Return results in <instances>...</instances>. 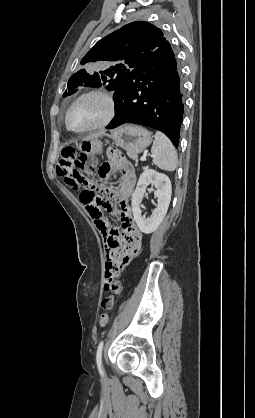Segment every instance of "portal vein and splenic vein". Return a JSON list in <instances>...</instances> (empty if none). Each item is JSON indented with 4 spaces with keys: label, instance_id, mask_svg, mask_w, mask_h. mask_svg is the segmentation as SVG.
<instances>
[{
    "label": "portal vein and splenic vein",
    "instance_id": "18ae733b",
    "mask_svg": "<svg viewBox=\"0 0 255 418\" xmlns=\"http://www.w3.org/2000/svg\"><path fill=\"white\" fill-rule=\"evenodd\" d=\"M140 160L141 161H145L146 160V156L144 155V156H142L141 158H140Z\"/></svg>",
    "mask_w": 255,
    "mask_h": 418
}]
</instances>
